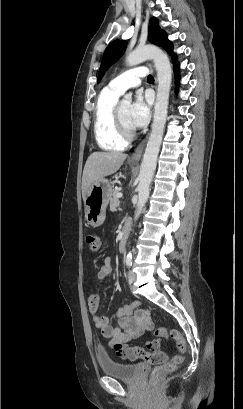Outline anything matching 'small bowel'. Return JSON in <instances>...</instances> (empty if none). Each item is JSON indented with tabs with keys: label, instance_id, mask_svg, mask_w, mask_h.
I'll use <instances>...</instances> for the list:
<instances>
[{
	"label": "small bowel",
	"instance_id": "c3829d8e",
	"mask_svg": "<svg viewBox=\"0 0 243 409\" xmlns=\"http://www.w3.org/2000/svg\"><path fill=\"white\" fill-rule=\"evenodd\" d=\"M103 265L98 272V278L104 280L113 271L112 257L106 255L102 259ZM139 301L119 307L113 310L110 315L99 314L97 309H91L92 320L100 334L109 340V346L123 359L135 361L142 359L147 362H161L167 359L164 352L160 351L158 340H147L144 345H135L133 341L141 338L146 332L152 329L151 318L143 310H139ZM99 306V304H98ZM111 318L117 320V326L110 324Z\"/></svg>",
	"mask_w": 243,
	"mask_h": 409
}]
</instances>
